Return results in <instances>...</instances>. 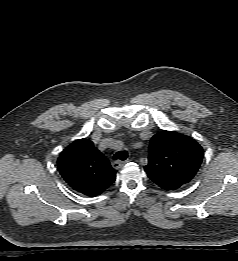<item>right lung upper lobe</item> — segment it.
<instances>
[{
	"label": "right lung upper lobe",
	"instance_id": "obj_1",
	"mask_svg": "<svg viewBox=\"0 0 238 261\" xmlns=\"http://www.w3.org/2000/svg\"><path fill=\"white\" fill-rule=\"evenodd\" d=\"M57 166L70 187L90 197L105 191L114 182L117 172L92 141L86 138L67 146L61 152Z\"/></svg>",
	"mask_w": 238,
	"mask_h": 261
}]
</instances>
